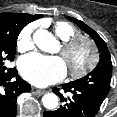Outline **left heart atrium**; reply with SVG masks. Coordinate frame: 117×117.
I'll use <instances>...</instances> for the list:
<instances>
[{"label":"left heart atrium","instance_id":"39dd6f15","mask_svg":"<svg viewBox=\"0 0 117 117\" xmlns=\"http://www.w3.org/2000/svg\"><path fill=\"white\" fill-rule=\"evenodd\" d=\"M19 67L27 81L40 87L61 81L67 73L66 64L61 58L38 53L24 56Z\"/></svg>","mask_w":117,"mask_h":117}]
</instances>
